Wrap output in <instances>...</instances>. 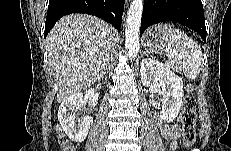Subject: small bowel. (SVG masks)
I'll return each instance as SVG.
<instances>
[{
  "label": "small bowel",
  "instance_id": "small-bowel-1",
  "mask_svg": "<svg viewBox=\"0 0 231 151\" xmlns=\"http://www.w3.org/2000/svg\"><path fill=\"white\" fill-rule=\"evenodd\" d=\"M159 125H160V131L162 136L166 141L170 143V147L174 148L176 144L177 138L180 136L181 129L177 124L174 125H167L164 122H162L160 119Z\"/></svg>",
  "mask_w": 231,
  "mask_h": 151
}]
</instances>
